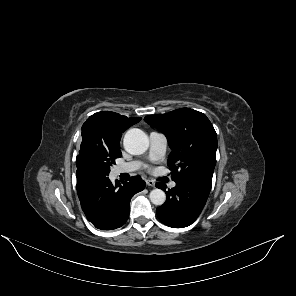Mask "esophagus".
Returning <instances> with one entry per match:
<instances>
[{"label": "esophagus", "mask_w": 296, "mask_h": 296, "mask_svg": "<svg viewBox=\"0 0 296 296\" xmlns=\"http://www.w3.org/2000/svg\"><path fill=\"white\" fill-rule=\"evenodd\" d=\"M146 184L150 187H155V182L153 180H150V179L146 180Z\"/></svg>", "instance_id": "esophagus-1"}]
</instances>
